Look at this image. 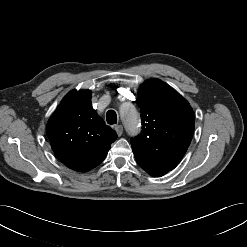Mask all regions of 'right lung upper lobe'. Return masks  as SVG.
Listing matches in <instances>:
<instances>
[{"instance_id":"obj_1","label":"right lung upper lobe","mask_w":247,"mask_h":247,"mask_svg":"<svg viewBox=\"0 0 247 247\" xmlns=\"http://www.w3.org/2000/svg\"><path fill=\"white\" fill-rule=\"evenodd\" d=\"M46 131L55 155L78 172L103 162L117 138L93 109L90 90L70 91L50 117Z\"/></svg>"}]
</instances>
